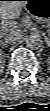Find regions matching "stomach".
<instances>
[{
  "instance_id": "stomach-1",
  "label": "stomach",
  "mask_w": 50,
  "mask_h": 111,
  "mask_svg": "<svg viewBox=\"0 0 50 111\" xmlns=\"http://www.w3.org/2000/svg\"><path fill=\"white\" fill-rule=\"evenodd\" d=\"M25 7L34 19L50 21V0H27Z\"/></svg>"
}]
</instances>
